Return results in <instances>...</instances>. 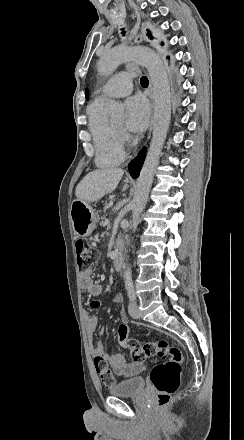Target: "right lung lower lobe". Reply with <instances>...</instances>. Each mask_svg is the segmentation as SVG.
Returning <instances> with one entry per match:
<instances>
[{"label": "right lung lower lobe", "mask_w": 244, "mask_h": 440, "mask_svg": "<svg viewBox=\"0 0 244 440\" xmlns=\"http://www.w3.org/2000/svg\"><path fill=\"white\" fill-rule=\"evenodd\" d=\"M146 156V148L144 147L140 153L130 162L128 166V170L132 176V178H137L139 176L140 170L144 163Z\"/></svg>", "instance_id": "1"}]
</instances>
